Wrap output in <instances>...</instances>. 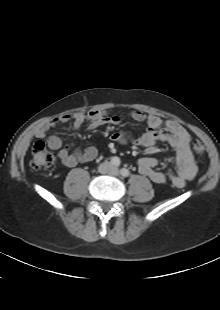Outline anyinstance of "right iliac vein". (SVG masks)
<instances>
[{"label":"right iliac vein","mask_w":220,"mask_h":310,"mask_svg":"<svg viewBox=\"0 0 220 310\" xmlns=\"http://www.w3.org/2000/svg\"><path fill=\"white\" fill-rule=\"evenodd\" d=\"M109 167H110L109 164H108V163H105L104 165L101 166L100 169H101V171H108V170H109Z\"/></svg>","instance_id":"1"}]
</instances>
